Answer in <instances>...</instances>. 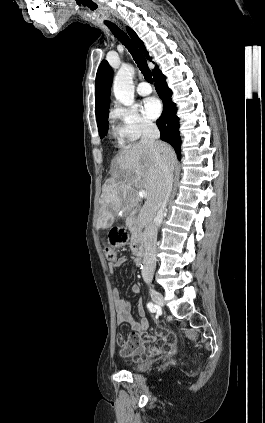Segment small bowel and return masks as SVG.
I'll list each match as a JSON object with an SVG mask.
<instances>
[{
	"label": "small bowel",
	"instance_id": "small-bowel-1",
	"mask_svg": "<svg viewBox=\"0 0 265 423\" xmlns=\"http://www.w3.org/2000/svg\"><path fill=\"white\" fill-rule=\"evenodd\" d=\"M131 262L125 257L117 258L109 263V270L113 272L116 268ZM136 266L141 263L133 260ZM131 291L139 295L140 287L138 284H133ZM113 302L116 311V323L121 325L128 323L131 327V334L125 338L118 336L117 342L121 347V355L125 357H133L136 362L142 361L144 358H150L157 355L169 356L177 347V336L174 332L165 330H157L154 333H148V321L145 318V310L141 301L137 303V318L131 315V304L123 299L118 290L113 291Z\"/></svg>",
	"mask_w": 265,
	"mask_h": 423
}]
</instances>
